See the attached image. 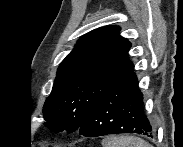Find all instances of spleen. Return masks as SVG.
Here are the masks:
<instances>
[{"label":"spleen","mask_w":183,"mask_h":147,"mask_svg":"<svg viewBox=\"0 0 183 147\" xmlns=\"http://www.w3.org/2000/svg\"><path fill=\"white\" fill-rule=\"evenodd\" d=\"M103 147H152L148 142L134 136H109L102 140Z\"/></svg>","instance_id":"obj_1"}]
</instances>
